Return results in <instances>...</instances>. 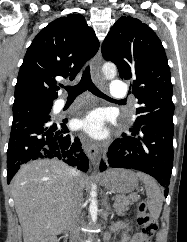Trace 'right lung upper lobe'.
<instances>
[{
	"mask_svg": "<svg viewBox=\"0 0 187 242\" xmlns=\"http://www.w3.org/2000/svg\"><path fill=\"white\" fill-rule=\"evenodd\" d=\"M99 49L94 30L82 15L61 17L42 29L27 49L15 86L14 107L53 104L58 79L73 80Z\"/></svg>",
	"mask_w": 187,
	"mask_h": 242,
	"instance_id": "1",
	"label": "right lung upper lobe"
}]
</instances>
